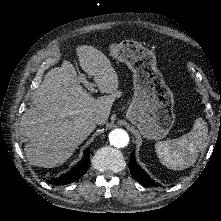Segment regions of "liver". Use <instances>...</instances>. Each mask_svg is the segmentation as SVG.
I'll return each mask as SVG.
<instances>
[{"mask_svg":"<svg viewBox=\"0 0 221 221\" xmlns=\"http://www.w3.org/2000/svg\"><path fill=\"white\" fill-rule=\"evenodd\" d=\"M76 56L100 91L110 94L92 98L67 61L51 69L31 97L34 106L26 108L19 124L26 139L24 152L33 166L53 168L67 162L95 129L89 116L98 114L97 124L103 126L120 95L115 91L116 74L102 52L82 46L76 49Z\"/></svg>","mask_w":221,"mask_h":221,"instance_id":"1","label":"liver"}]
</instances>
